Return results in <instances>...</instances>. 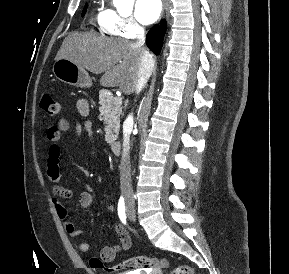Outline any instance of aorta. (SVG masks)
<instances>
[{
	"mask_svg": "<svg viewBox=\"0 0 289 274\" xmlns=\"http://www.w3.org/2000/svg\"><path fill=\"white\" fill-rule=\"evenodd\" d=\"M133 0H113V4L117 8H122V7H131Z\"/></svg>",
	"mask_w": 289,
	"mask_h": 274,
	"instance_id": "aorta-1",
	"label": "aorta"
}]
</instances>
